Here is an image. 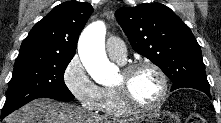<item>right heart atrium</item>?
<instances>
[{
	"label": "right heart atrium",
	"mask_w": 221,
	"mask_h": 123,
	"mask_svg": "<svg viewBox=\"0 0 221 123\" xmlns=\"http://www.w3.org/2000/svg\"><path fill=\"white\" fill-rule=\"evenodd\" d=\"M63 80L83 108L89 111L99 110L102 88L94 83L78 56H74L67 64Z\"/></svg>",
	"instance_id": "obj_1"
}]
</instances>
